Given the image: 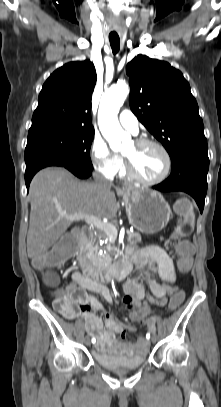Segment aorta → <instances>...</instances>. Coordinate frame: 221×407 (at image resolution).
<instances>
[{
  "instance_id": "762f6f07",
  "label": "aorta",
  "mask_w": 221,
  "mask_h": 407,
  "mask_svg": "<svg viewBox=\"0 0 221 407\" xmlns=\"http://www.w3.org/2000/svg\"><path fill=\"white\" fill-rule=\"evenodd\" d=\"M129 94L128 86L117 84L107 90L101 98L98 124L104 138L113 150L119 149L125 133L118 121V112Z\"/></svg>"
}]
</instances>
